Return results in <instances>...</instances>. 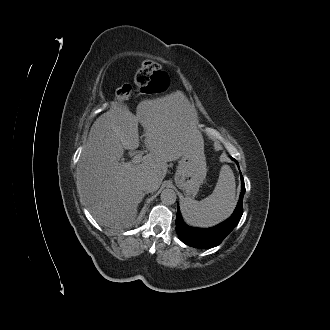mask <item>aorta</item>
<instances>
[{"label": "aorta", "mask_w": 330, "mask_h": 330, "mask_svg": "<svg viewBox=\"0 0 330 330\" xmlns=\"http://www.w3.org/2000/svg\"><path fill=\"white\" fill-rule=\"evenodd\" d=\"M161 201L165 205H172L176 202L177 196L173 189L166 188L160 195Z\"/></svg>", "instance_id": "obj_1"}]
</instances>
